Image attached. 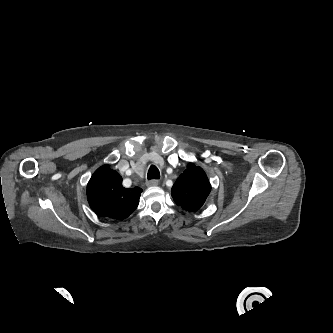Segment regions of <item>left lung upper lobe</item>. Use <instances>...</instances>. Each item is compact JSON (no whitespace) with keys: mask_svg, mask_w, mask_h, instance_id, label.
Returning a JSON list of instances; mask_svg holds the SVG:
<instances>
[{"mask_svg":"<svg viewBox=\"0 0 333 333\" xmlns=\"http://www.w3.org/2000/svg\"><path fill=\"white\" fill-rule=\"evenodd\" d=\"M171 191L177 205L193 212L202 207L211 191V185L203 169L189 163Z\"/></svg>","mask_w":333,"mask_h":333,"instance_id":"left-lung-upper-lobe-1","label":"left lung upper lobe"}]
</instances>
